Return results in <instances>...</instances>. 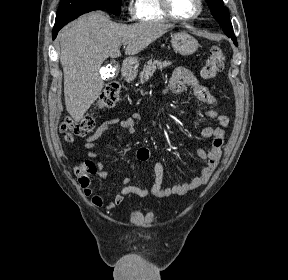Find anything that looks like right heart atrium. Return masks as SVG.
<instances>
[{"instance_id":"obj_1","label":"right heart atrium","mask_w":288,"mask_h":280,"mask_svg":"<svg viewBox=\"0 0 288 280\" xmlns=\"http://www.w3.org/2000/svg\"><path fill=\"white\" fill-rule=\"evenodd\" d=\"M125 10L130 19H136L138 14L137 0H126Z\"/></svg>"}]
</instances>
